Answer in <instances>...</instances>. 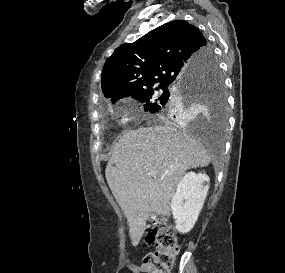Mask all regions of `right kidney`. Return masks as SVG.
<instances>
[{
    "label": "right kidney",
    "instance_id": "obj_1",
    "mask_svg": "<svg viewBox=\"0 0 285 273\" xmlns=\"http://www.w3.org/2000/svg\"><path fill=\"white\" fill-rule=\"evenodd\" d=\"M209 181L206 174L188 172L178 183L170 205L178 232L188 233L194 227L209 190Z\"/></svg>",
    "mask_w": 285,
    "mask_h": 273
}]
</instances>
